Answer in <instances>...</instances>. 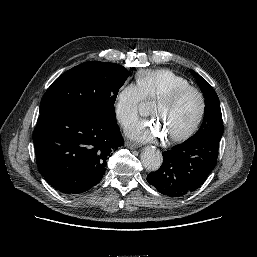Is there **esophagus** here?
Returning a JSON list of instances; mask_svg holds the SVG:
<instances>
[{"label":"esophagus","mask_w":257,"mask_h":257,"mask_svg":"<svg viewBox=\"0 0 257 257\" xmlns=\"http://www.w3.org/2000/svg\"><path fill=\"white\" fill-rule=\"evenodd\" d=\"M125 146H127L129 148H136V147H138V143L133 142V141H126Z\"/></svg>","instance_id":"1"}]
</instances>
